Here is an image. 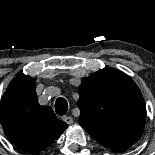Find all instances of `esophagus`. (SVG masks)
<instances>
[{"instance_id":"34e87169","label":"esophagus","mask_w":155,"mask_h":155,"mask_svg":"<svg viewBox=\"0 0 155 155\" xmlns=\"http://www.w3.org/2000/svg\"><path fill=\"white\" fill-rule=\"evenodd\" d=\"M63 120L69 125L73 124V118L71 116H64Z\"/></svg>"}]
</instances>
